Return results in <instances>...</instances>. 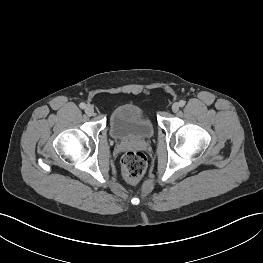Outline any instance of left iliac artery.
Wrapping results in <instances>:
<instances>
[{"label": "left iliac artery", "instance_id": "obj_1", "mask_svg": "<svg viewBox=\"0 0 263 263\" xmlns=\"http://www.w3.org/2000/svg\"><path fill=\"white\" fill-rule=\"evenodd\" d=\"M185 101L184 100H181L180 102H179V105H180V107H183L184 105H185Z\"/></svg>", "mask_w": 263, "mask_h": 263}]
</instances>
